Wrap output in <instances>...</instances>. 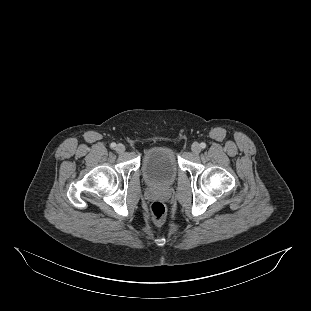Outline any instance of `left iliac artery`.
<instances>
[{
	"label": "left iliac artery",
	"instance_id": "obj_1",
	"mask_svg": "<svg viewBox=\"0 0 311 311\" xmlns=\"http://www.w3.org/2000/svg\"><path fill=\"white\" fill-rule=\"evenodd\" d=\"M200 147H201L202 149L206 148V143L202 142V143L200 144Z\"/></svg>",
	"mask_w": 311,
	"mask_h": 311
}]
</instances>
